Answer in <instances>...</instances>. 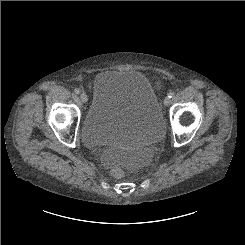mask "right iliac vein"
<instances>
[{
	"label": "right iliac vein",
	"mask_w": 245,
	"mask_h": 245,
	"mask_svg": "<svg viewBox=\"0 0 245 245\" xmlns=\"http://www.w3.org/2000/svg\"><path fill=\"white\" fill-rule=\"evenodd\" d=\"M80 100L83 102V103H86L88 101V97L85 93H82L80 94Z\"/></svg>",
	"instance_id": "obj_1"
}]
</instances>
